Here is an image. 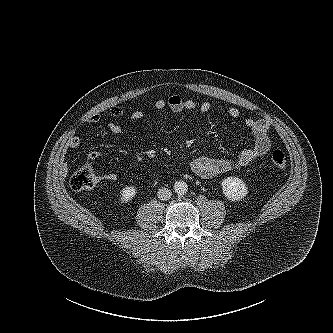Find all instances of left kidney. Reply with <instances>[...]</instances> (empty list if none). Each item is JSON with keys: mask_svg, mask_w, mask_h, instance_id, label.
I'll return each mask as SVG.
<instances>
[{"mask_svg": "<svg viewBox=\"0 0 333 333\" xmlns=\"http://www.w3.org/2000/svg\"><path fill=\"white\" fill-rule=\"evenodd\" d=\"M221 186L225 197L231 201H240L248 194V187L238 177L230 176L223 179Z\"/></svg>", "mask_w": 333, "mask_h": 333, "instance_id": "left-kidney-1", "label": "left kidney"}]
</instances>
